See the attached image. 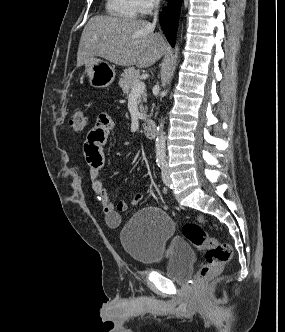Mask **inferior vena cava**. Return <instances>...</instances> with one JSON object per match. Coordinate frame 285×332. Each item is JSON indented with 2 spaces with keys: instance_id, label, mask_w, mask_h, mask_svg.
Wrapping results in <instances>:
<instances>
[{
  "instance_id": "inferior-vena-cava-1",
  "label": "inferior vena cava",
  "mask_w": 285,
  "mask_h": 332,
  "mask_svg": "<svg viewBox=\"0 0 285 332\" xmlns=\"http://www.w3.org/2000/svg\"><path fill=\"white\" fill-rule=\"evenodd\" d=\"M158 5H159V0H154V6H155V12H154V20H153V24H156L157 21V15H158Z\"/></svg>"
}]
</instances>
